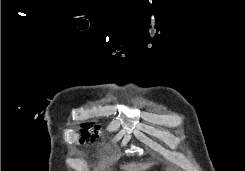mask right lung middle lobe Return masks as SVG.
I'll list each match as a JSON object with an SVG mask.
<instances>
[{"instance_id":"1","label":"right lung middle lobe","mask_w":245,"mask_h":171,"mask_svg":"<svg viewBox=\"0 0 245 171\" xmlns=\"http://www.w3.org/2000/svg\"><path fill=\"white\" fill-rule=\"evenodd\" d=\"M83 127H85V126H83ZM95 133H97V132L95 131ZM82 136H83V137H82L81 140H80L81 143H83V142L85 141V137H89L90 134H89V133L86 134L85 131H83V132H82ZM96 137H97V135L93 134V135L91 136L92 141H93Z\"/></svg>"}]
</instances>
